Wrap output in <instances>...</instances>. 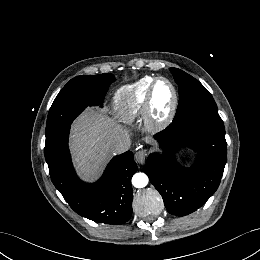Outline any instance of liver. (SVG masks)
Returning a JSON list of instances; mask_svg holds the SVG:
<instances>
[{
	"label": "liver",
	"instance_id": "obj_1",
	"mask_svg": "<svg viewBox=\"0 0 260 260\" xmlns=\"http://www.w3.org/2000/svg\"><path fill=\"white\" fill-rule=\"evenodd\" d=\"M120 134L126 133L111 119L91 108L74 121L70 146L78 173L84 180L96 178L108 158L115 153L112 143Z\"/></svg>",
	"mask_w": 260,
	"mask_h": 260
}]
</instances>
